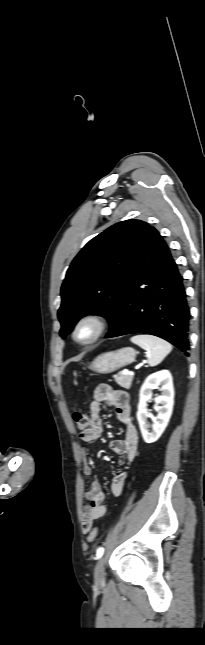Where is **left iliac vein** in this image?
Here are the masks:
<instances>
[{
    "label": "left iliac vein",
    "instance_id": "1",
    "mask_svg": "<svg viewBox=\"0 0 205 645\" xmlns=\"http://www.w3.org/2000/svg\"><path fill=\"white\" fill-rule=\"evenodd\" d=\"M105 559L104 557L100 558L97 562L94 570V579L97 584H103L105 582V568H104Z\"/></svg>",
    "mask_w": 205,
    "mask_h": 645
}]
</instances>
